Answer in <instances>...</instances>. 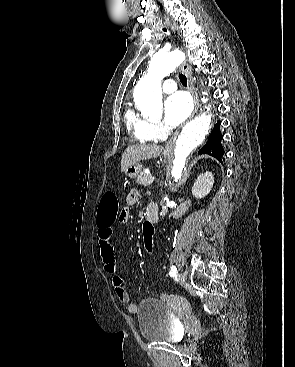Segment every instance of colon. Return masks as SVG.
<instances>
[{"label":"colon","instance_id":"5ec220e1","mask_svg":"<svg viewBox=\"0 0 295 367\" xmlns=\"http://www.w3.org/2000/svg\"><path fill=\"white\" fill-rule=\"evenodd\" d=\"M120 212V206L117 196L112 192H107L102 196L99 208L98 221L112 222L117 220ZM141 238L144 243L145 249L151 252L153 246H155V233L154 224L151 219H144L141 224Z\"/></svg>","mask_w":295,"mask_h":367}]
</instances>
